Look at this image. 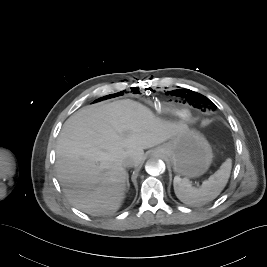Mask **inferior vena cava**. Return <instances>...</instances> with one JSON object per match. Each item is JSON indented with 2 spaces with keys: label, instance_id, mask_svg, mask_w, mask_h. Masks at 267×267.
Wrapping results in <instances>:
<instances>
[{
  "label": "inferior vena cava",
  "instance_id": "602c4592",
  "mask_svg": "<svg viewBox=\"0 0 267 267\" xmlns=\"http://www.w3.org/2000/svg\"><path fill=\"white\" fill-rule=\"evenodd\" d=\"M123 166L124 167H133L134 166V162L131 159H125L123 161Z\"/></svg>",
  "mask_w": 267,
  "mask_h": 267
}]
</instances>
